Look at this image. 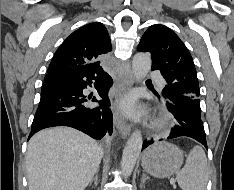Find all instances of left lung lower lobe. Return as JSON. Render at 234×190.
Instances as JSON below:
<instances>
[{"label":"left lung lower lobe","instance_id":"0a47b994","mask_svg":"<svg viewBox=\"0 0 234 190\" xmlns=\"http://www.w3.org/2000/svg\"><path fill=\"white\" fill-rule=\"evenodd\" d=\"M152 70L157 69L152 67ZM162 97L166 101L169 111L178 121V125L172 128L168 139L187 136L199 141L208 149L201 115L189 109L185 102L174 100L164 92H162ZM153 142V139L151 141H145L142 150Z\"/></svg>","mask_w":234,"mask_h":190}]
</instances>
